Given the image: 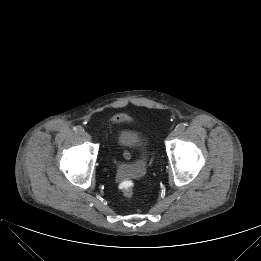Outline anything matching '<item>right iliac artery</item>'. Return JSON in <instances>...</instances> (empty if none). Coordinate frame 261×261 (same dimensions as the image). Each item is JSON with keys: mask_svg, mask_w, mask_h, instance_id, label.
<instances>
[{"mask_svg": "<svg viewBox=\"0 0 261 261\" xmlns=\"http://www.w3.org/2000/svg\"><path fill=\"white\" fill-rule=\"evenodd\" d=\"M75 132L78 134H83L84 129L81 126H77V127H75Z\"/></svg>", "mask_w": 261, "mask_h": 261, "instance_id": "right-iliac-artery-1", "label": "right iliac artery"}]
</instances>
